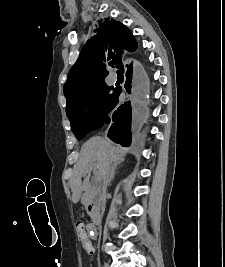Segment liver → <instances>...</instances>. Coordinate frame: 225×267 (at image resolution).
I'll use <instances>...</instances> for the list:
<instances>
[{"label":"liver","mask_w":225,"mask_h":267,"mask_svg":"<svg viewBox=\"0 0 225 267\" xmlns=\"http://www.w3.org/2000/svg\"><path fill=\"white\" fill-rule=\"evenodd\" d=\"M124 155L125 151L115 147L107 138L93 137L85 142L70 180L72 201L77 203L80 200L89 179L87 177L82 184L81 178L83 175L90 174L93 165L97 168V180H101L106 167L124 159Z\"/></svg>","instance_id":"1"}]
</instances>
